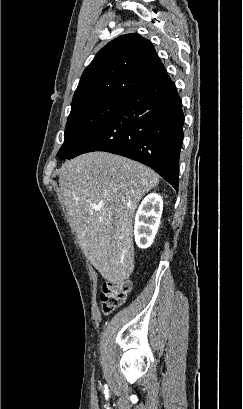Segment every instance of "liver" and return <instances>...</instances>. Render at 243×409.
Masks as SVG:
<instances>
[{
  "label": "liver",
  "mask_w": 243,
  "mask_h": 409,
  "mask_svg": "<svg viewBox=\"0 0 243 409\" xmlns=\"http://www.w3.org/2000/svg\"><path fill=\"white\" fill-rule=\"evenodd\" d=\"M150 168L108 152H91L66 161L59 186L79 245L110 282L134 270L133 217L141 198L157 186Z\"/></svg>",
  "instance_id": "obj_1"
}]
</instances>
